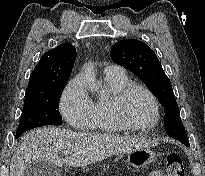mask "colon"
Masks as SVG:
<instances>
[{"label": "colon", "mask_w": 205, "mask_h": 176, "mask_svg": "<svg viewBox=\"0 0 205 176\" xmlns=\"http://www.w3.org/2000/svg\"><path fill=\"white\" fill-rule=\"evenodd\" d=\"M167 176H185L182 159L177 153H170L166 158ZM155 176H165L156 174Z\"/></svg>", "instance_id": "1"}]
</instances>
